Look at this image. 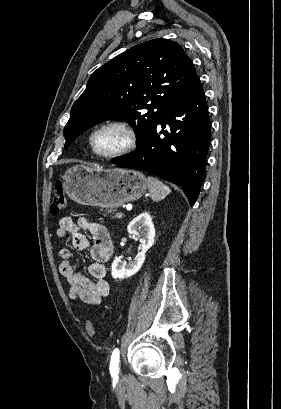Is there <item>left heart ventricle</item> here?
I'll return each instance as SVG.
<instances>
[{
    "label": "left heart ventricle",
    "instance_id": "b2bd125f",
    "mask_svg": "<svg viewBox=\"0 0 281 409\" xmlns=\"http://www.w3.org/2000/svg\"><path fill=\"white\" fill-rule=\"evenodd\" d=\"M120 138L115 133H104L97 138V149L100 152H107L114 149L119 144Z\"/></svg>",
    "mask_w": 281,
    "mask_h": 409
}]
</instances>
